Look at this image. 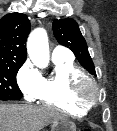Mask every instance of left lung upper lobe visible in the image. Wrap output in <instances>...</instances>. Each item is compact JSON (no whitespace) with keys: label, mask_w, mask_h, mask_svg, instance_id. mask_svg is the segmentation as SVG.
Segmentation results:
<instances>
[{"label":"left lung upper lobe","mask_w":117,"mask_h":131,"mask_svg":"<svg viewBox=\"0 0 117 131\" xmlns=\"http://www.w3.org/2000/svg\"><path fill=\"white\" fill-rule=\"evenodd\" d=\"M52 27L57 41L61 45L70 48L79 63L91 74L96 75L86 41L83 38L76 21L70 18L62 20L56 19L53 21Z\"/></svg>","instance_id":"1"}]
</instances>
